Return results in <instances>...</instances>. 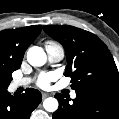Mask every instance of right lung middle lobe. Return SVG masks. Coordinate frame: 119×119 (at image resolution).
I'll use <instances>...</instances> for the list:
<instances>
[{
	"instance_id": "right-lung-middle-lobe-1",
	"label": "right lung middle lobe",
	"mask_w": 119,
	"mask_h": 119,
	"mask_svg": "<svg viewBox=\"0 0 119 119\" xmlns=\"http://www.w3.org/2000/svg\"><path fill=\"white\" fill-rule=\"evenodd\" d=\"M12 80L11 72L0 73V89H7Z\"/></svg>"
}]
</instances>
